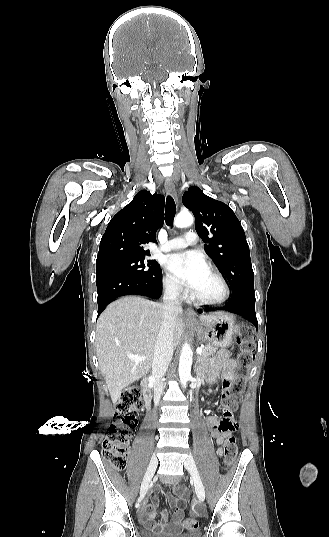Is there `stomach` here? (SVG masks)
Returning a JSON list of instances; mask_svg holds the SVG:
<instances>
[{
    "mask_svg": "<svg viewBox=\"0 0 329 537\" xmlns=\"http://www.w3.org/2000/svg\"><path fill=\"white\" fill-rule=\"evenodd\" d=\"M240 332L241 326L235 322V317L226 313H222L205 328L198 329V333L204 340L220 347H228Z\"/></svg>",
    "mask_w": 329,
    "mask_h": 537,
    "instance_id": "obj_1",
    "label": "stomach"
}]
</instances>
